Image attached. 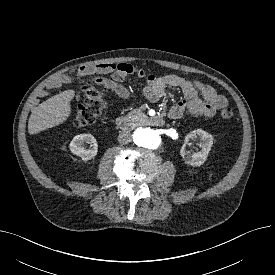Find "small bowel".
Returning <instances> with one entry per match:
<instances>
[{
  "mask_svg": "<svg viewBox=\"0 0 275 275\" xmlns=\"http://www.w3.org/2000/svg\"><path fill=\"white\" fill-rule=\"evenodd\" d=\"M122 65L123 70L121 71L117 69L115 64L82 66L74 74L67 73L59 76L52 85L53 87H59L63 84H69L73 82L75 77L113 73L114 76L112 79H100L98 80L99 84L115 92L122 98H129L130 93L123 84V81L128 75H136L146 81L144 94L152 102L162 99L168 87L181 89L184 98L169 110L168 116L171 119H178L185 112L192 116L212 117L218 110L228 105L227 99L207 84L192 81L174 74L155 76L141 69H136L129 64L122 63ZM74 97L76 100L80 98V91L78 89L75 90Z\"/></svg>",
  "mask_w": 275,
  "mask_h": 275,
  "instance_id": "small-bowel-1",
  "label": "small bowel"
}]
</instances>
